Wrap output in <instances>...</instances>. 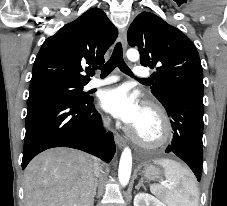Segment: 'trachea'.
<instances>
[{"label":"trachea","instance_id":"3493384b","mask_svg":"<svg viewBox=\"0 0 227 206\" xmlns=\"http://www.w3.org/2000/svg\"><path fill=\"white\" fill-rule=\"evenodd\" d=\"M116 67H118L123 73L133 76L128 66L123 60V52L121 43H117L110 59L102 66L95 67L101 70V77L109 75ZM141 81H147L148 79H139Z\"/></svg>","mask_w":227,"mask_h":206}]
</instances>
